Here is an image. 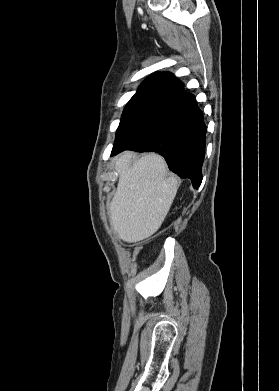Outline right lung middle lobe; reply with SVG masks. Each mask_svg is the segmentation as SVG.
<instances>
[{"label":"right lung middle lobe","mask_w":279,"mask_h":391,"mask_svg":"<svg viewBox=\"0 0 279 391\" xmlns=\"http://www.w3.org/2000/svg\"><path fill=\"white\" fill-rule=\"evenodd\" d=\"M161 110L152 107L124 110L116 132L113 150L122 147L145 130Z\"/></svg>","instance_id":"dd1d6c3e"}]
</instances>
